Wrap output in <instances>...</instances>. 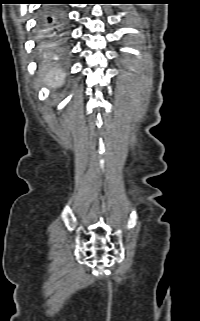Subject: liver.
I'll use <instances>...</instances> for the list:
<instances>
[{
    "mask_svg": "<svg viewBox=\"0 0 200 321\" xmlns=\"http://www.w3.org/2000/svg\"><path fill=\"white\" fill-rule=\"evenodd\" d=\"M41 74L45 75V82L52 87L60 86L65 78L62 71L50 69L47 65H42Z\"/></svg>",
    "mask_w": 200,
    "mask_h": 321,
    "instance_id": "6515ba94",
    "label": "liver"
}]
</instances>
